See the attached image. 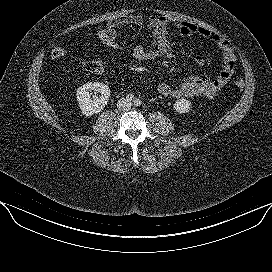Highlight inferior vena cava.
Here are the masks:
<instances>
[{
    "label": "inferior vena cava",
    "instance_id": "1",
    "mask_svg": "<svg viewBox=\"0 0 272 272\" xmlns=\"http://www.w3.org/2000/svg\"><path fill=\"white\" fill-rule=\"evenodd\" d=\"M132 107V103L129 99L122 98L117 102V108L122 111H129Z\"/></svg>",
    "mask_w": 272,
    "mask_h": 272
}]
</instances>
